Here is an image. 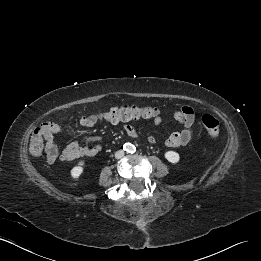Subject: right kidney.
I'll return each mask as SVG.
<instances>
[{"mask_svg":"<svg viewBox=\"0 0 261 261\" xmlns=\"http://www.w3.org/2000/svg\"><path fill=\"white\" fill-rule=\"evenodd\" d=\"M84 164V161H79L78 165L71 169V176L73 179H78L81 176Z\"/></svg>","mask_w":261,"mask_h":261,"instance_id":"obj_1","label":"right kidney"}]
</instances>
